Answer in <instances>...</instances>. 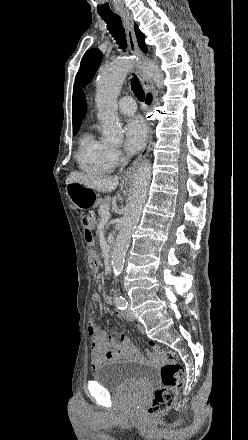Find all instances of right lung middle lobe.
I'll use <instances>...</instances> for the list:
<instances>
[{
	"mask_svg": "<svg viewBox=\"0 0 248 440\" xmlns=\"http://www.w3.org/2000/svg\"><path fill=\"white\" fill-rule=\"evenodd\" d=\"M78 130H73V135H76Z\"/></svg>",
	"mask_w": 248,
	"mask_h": 440,
	"instance_id": "right-lung-middle-lobe-1",
	"label": "right lung middle lobe"
}]
</instances>
